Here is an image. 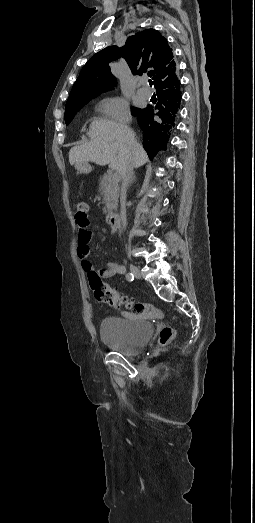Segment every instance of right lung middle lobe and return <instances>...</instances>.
Masks as SVG:
<instances>
[{
    "mask_svg": "<svg viewBox=\"0 0 255 523\" xmlns=\"http://www.w3.org/2000/svg\"><path fill=\"white\" fill-rule=\"evenodd\" d=\"M87 104V102H82V103H68L66 104L65 106V114H64V118H65V123L66 125H68L72 119L74 118V116L76 115V113L85 105Z\"/></svg>",
    "mask_w": 255,
    "mask_h": 523,
    "instance_id": "right-lung-middle-lobe-1",
    "label": "right lung middle lobe"
}]
</instances>
